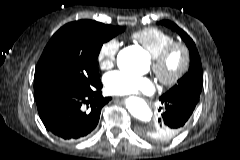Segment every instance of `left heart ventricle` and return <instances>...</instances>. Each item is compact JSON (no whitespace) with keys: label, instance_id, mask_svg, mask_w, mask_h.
Here are the masks:
<instances>
[{"label":"left heart ventricle","instance_id":"obj_1","mask_svg":"<svg viewBox=\"0 0 240 160\" xmlns=\"http://www.w3.org/2000/svg\"><path fill=\"white\" fill-rule=\"evenodd\" d=\"M180 64V55L178 53H174L168 62L167 73L172 74L178 68Z\"/></svg>","mask_w":240,"mask_h":160}]
</instances>
